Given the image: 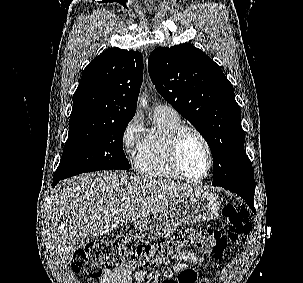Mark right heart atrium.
Returning <instances> with one entry per match:
<instances>
[{
    "label": "right heart atrium",
    "mask_w": 303,
    "mask_h": 283,
    "mask_svg": "<svg viewBox=\"0 0 303 283\" xmlns=\"http://www.w3.org/2000/svg\"><path fill=\"white\" fill-rule=\"evenodd\" d=\"M142 140V123L137 116H134L127 122L121 135V144L124 152L128 156L136 154Z\"/></svg>",
    "instance_id": "right-heart-atrium-1"
}]
</instances>
